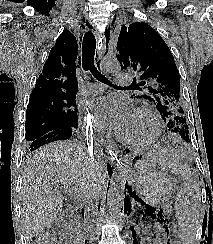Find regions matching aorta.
<instances>
[{
	"label": "aorta",
	"instance_id": "1",
	"mask_svg": "<svg viewBox=\"0 0 213 244\" xmlns=\"http://www.w3.org/2000/svg\"><path fill=\"white\" fill-rule=\"evenodd\" d=\"M101 70L107 73H118L121 65L115 57H107L101 62ZM110 179L107 193V207L112 217H118L121 213L124 200L125 180L120 170V164Z\"/></svg>",
	"mask_w": 213,
	"mask_h": 244
}]
</instances>
